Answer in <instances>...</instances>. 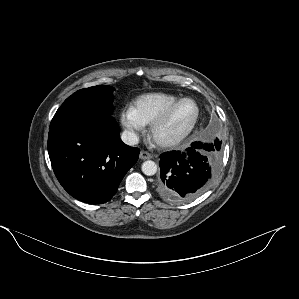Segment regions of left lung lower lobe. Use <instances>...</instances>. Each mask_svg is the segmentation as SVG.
Returning a JSON list of instances; mask_svg holds the SVG:
<instances>
[{
    "label": "left lung lower lobe",
    "mask_w": 299,
    "mask_h": 299,
    "mask_svg": "<svg viewBox=\"0 0 299 299\" xmlns=\"http://www.w3.org/2000/svg\"><path fill=\"white\" fill-rule=\"evenodd\" d=\"M159 194L174 203H184L203 193L211 184L221 160V147L193 142L186 151L160 156Z\"/></svg>",
    "instance_id": "left-lung-lower-lobe-1"
}]
</instances>
